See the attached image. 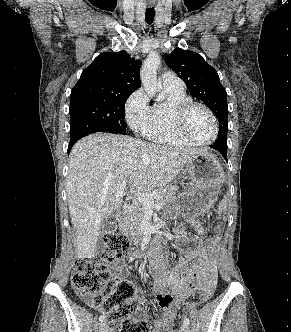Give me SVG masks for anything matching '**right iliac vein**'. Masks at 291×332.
Returning a JSON list of instances; mask_svg holds the SVG:
<instances>
[{
    "instance_id": "1",
    "label": "right iliac vein",
    "mask_w": 291,
    "mask_h": 332,
    "mask_svg": "<svg viewBox=\"0 0 291 332\" xmlns=\"http://www.w3.org/2000/svg\"><path fill=\"white\" fill-rule=\"evenodd\" d=\"M100 332H107L108 326L106 322H101L99 326Z\"/></svg>"
}]
</instances>
